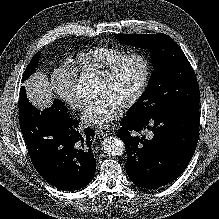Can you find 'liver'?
<instances>
[{
  "mask_svg": "<svg viewBox=\"0 0 219 219\" xmlns=\"http://www.w3.org/2000/svg\"><path fill=\"white\" fill-rule=\"evenodd\" d=\"M24 87L29 101L40 111L51 106L54 94L52 86L44 73L37 71L25 81Z\"/></svg>",
  "mask_w": 219,
  "mask_h": 219,
  "instance_id": "obj_1",
  "label": "liver"
}]
</instances>
